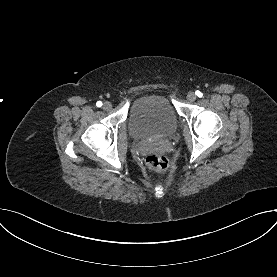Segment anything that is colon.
I'll return each instance as SVG.
<instances>
[{"mask_svg":"<svg viewBox=\"0 0 277 277\" xmlns=\"http://www.w3.org/2000/svg\"><path fill=\"white\" fill-rule=\"evenodd\" d=\"M146 164L157 172H164L169 167V160L161 153L153 152L149 153L145 157Z\"/></svg>","mask_w":277,"mask_h":277,"instance_id":"5ec220e1","label":"colon"}]
</instances>
